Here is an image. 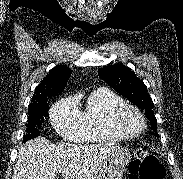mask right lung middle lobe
Instances as JSON below:
<instances>
[{
	"mask_svg": "<svg viewBox=\"0 0 183 179\" xmlns=\"http://www.w3.org/2000/svg\"><path fill=\"white\" fill-rule=\"evenodd\" d=\"M48 102L44 101L42 104L29 106L28 108V125L23 141L26 142L32 138L40 135L39 128L44 123V117L48 115Z\"/></svg>",
	"mask_w": 183,
	"mask_h": 179,
	"instance_id": "obj_1",
	"label": "right lung middle lobe"
}]
</instances>
